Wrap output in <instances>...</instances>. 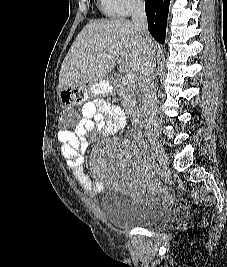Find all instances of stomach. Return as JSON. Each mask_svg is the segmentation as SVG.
<instances>
[{"label": "stomach", "instance_id": "obj_1", "mask_svg": "<svg viewBox=\"0 0 227 267\" xmlns=\"http://www.w3.org/2000/svg\"><path fill=\"white\" fill-rule=\"evenodd\" d=\"M101 93L102 90H112V85H88V87H62V91H58L57 101L66 104V107L82 106L87 102L88 94Z\"/></svg>", "mask_w": 227, "mask_h": 267}]
</instances>
